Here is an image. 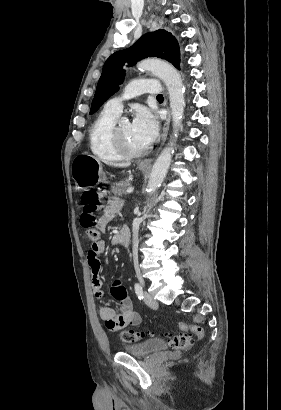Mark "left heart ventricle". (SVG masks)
<instances>
[{"label":"left heart ventricle","mask_w":281,"mask_h":410,"mask_svg":"<svg viewBox=\"0 0 281 410\" xmlns=\"http://www.w3.org/2000/svg\"><path fill=\"white\" fill-rule=\"evenodd\" d=\"M119 130L121 136L123 137V139L129 147L136 150L145 148V146L141 144L134 136L132 124L128 120H123L120 123Z\"/></svg>","instance_id":"left-heart-ventricle-1"}]
</instances>
